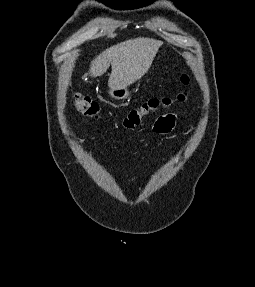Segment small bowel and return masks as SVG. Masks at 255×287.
<instances>
[{"mask_svg": "<svg viewBox=\"0 0 255 287\" xmlns=\"http://www.w3.org/2000/svg\"><path fill=\"white\" fill-rule=\"evenodd\" d=\"M176 124V116L168 114L165 116L159 117L153 126V131L157 135H165L172 131Z\"/></svg>", "mask_w": 255, "mask_h": 287, "instance_id": "obj_1", "label": "small bowel"}]
</instances>
